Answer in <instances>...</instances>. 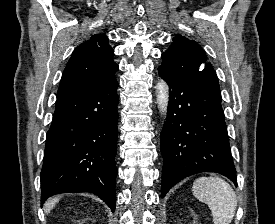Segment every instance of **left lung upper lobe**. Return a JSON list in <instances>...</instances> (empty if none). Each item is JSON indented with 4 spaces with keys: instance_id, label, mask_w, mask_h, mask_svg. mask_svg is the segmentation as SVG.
<instances>
[{
    "instance_id": "left-lung-upper-lobe-1",
    "label": "left lung upper lobe",
    "mask_w": 275,
    "mask_h": 224,
    "mask_svg": "<svg viewBox=\"0 0 275 224\" xmlns=\"http://www.w3.org/2000/svg\"><path fill=\"white\" fill-rule=\"evenodd\" d=\"M163 62L158 71L167 79H193L220 92L213 67L206 63L207 57L201 46L184 36L176 35L171 46L161 56Z\"/></svg>"
}]
</instances>
